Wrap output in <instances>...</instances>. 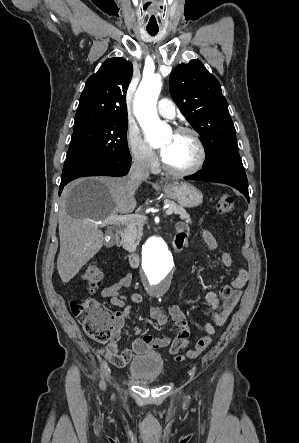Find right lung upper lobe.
Instances as JSON below:
<instances>
[{
	"label": "right lung upper lobe",
	"instance_id": "obj_1",
	"mask_svg": "<svg viewBox=\"0 0 299 443\" xmlns=\"http://www.w3.org/2000/svg\"><path fill=\"white\" fill-rule=\"evenodd\" d=\"M132 74L131 62L119 57L107 59L86 82L74 127L105 119H127L125 98Z\"/></svg>",
	"mask_w": 299,
	"mask_h": 443
}]
</instances>
